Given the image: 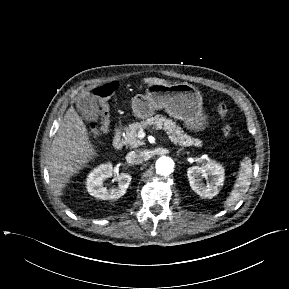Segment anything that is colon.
<instances>
[{
	"label": "colon",
	"instance_id": "1",
	"mask_svg": "<svg viewBox=\"0 0 289 289\" xmlns=\"http://www.w3.org/2000/svg\"><path fill=\"white\" fill-rule=\"evenodd\" d=\"M118 89L117 82H108L100 85L94 89V95L100 102V116L91 122L93 129H104L109 124V104L108 100ZM228 106L220 102L217 104V112L219 116L225 120L228 116ZM223 133L226 136H230L233 132L231 125L224 124L222 127Z\"/></svg>",
	"mask_w": 289,
	"mask_h": 289
}]
</instances>
